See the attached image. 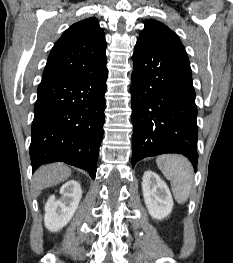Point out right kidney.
Masks as SVG:
<instances>
[{"instance_id":"right-kidney-1","label":"right kidney","mask_w":233,"mask_h":263,"mask_svg":"<svg viewBox=\"0 0 233 263\" xmlns=\"http://www.w3.org/2000/svg\"><path fill=\"white\" fill-rule=\"evenodd\" d=\"M60 194L59 199L51 195L45 205L44 223L51 232L63 228L73 217L82 197L81 185L70 180L62 185Z\"/></svg>"}]
</instances>
